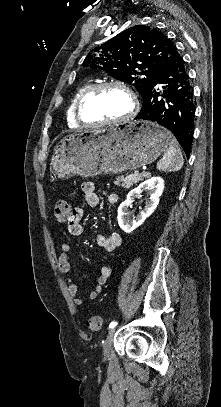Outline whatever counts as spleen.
Returning a JSON list of instances; mask_svg holds the SVG:
<instances>
[{
	"instance_id": "spleen-1",
	"label": "spleen",
	"mask_w": 221,
	"mask_h": 407,
	"mask_svg": "<svg viewBox=\"0 0 221 407\" xmlns=\"http://www.w3.org/2000/svg\"><path fill=\"white\" fill-rule=\"evenodd\" d=\"M183 164L184 159L179 144L174 138H171L163 158L157 163L156 167L160 171L175 172L180 170Z\"/></svg>"
}]
</instances>
